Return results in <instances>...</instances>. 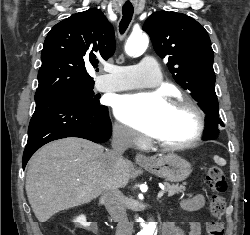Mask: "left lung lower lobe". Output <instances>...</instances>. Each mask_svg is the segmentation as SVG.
I'll return each mask as SVG.
<instances>
[{
    "label": "left lung lower lobe",
    "mask_w": 250,
    "mask_h": 235,
    "mask_svg": "<svg viewBox=\"0 0 250 235\" xmlns=\"http://www.w3.org/2000/svg\"><path fill=\"white\" fill-rule=\"evenodd\" d=\"M207 127L205 128V139L209 140L216 136L218 130L217 127L220 126L219 122L217 121V117L214 115L206 116Z\"/></svg>",
    "instance_id": "1"
}]
</instances>
